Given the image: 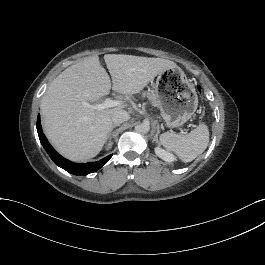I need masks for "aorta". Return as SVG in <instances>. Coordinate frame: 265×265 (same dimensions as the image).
I'll return each instance as SVG.
<instances>
[{
    "label": "aorta",
    "mask_w": 265,
    "mask_h": 265,
    "mask_svg": "<svg viewBox=\"0 0 265 265\" xmlns=\"http://www.w3.org/2000/svg\"><path fill=\"white\" fill-rule=\"evenodd\" d=\"M150 127L146 123H141L135 126V130L140 133H147L149 131Z\"/></svg>",
    "instance_id": "aorta-1"
}]
</instances>
